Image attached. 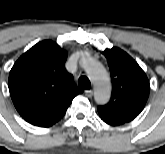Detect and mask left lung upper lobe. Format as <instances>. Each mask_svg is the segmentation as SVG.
Listing matches in <instances>:
<instances>
[{
    "instance_id": "obj_1",
    "label": "left lung upper lobe",
    "mask_w": 165,
    "mask_h": 154,
    "mask_svg": "<svg viewBox=\"0 0 165 154\" xmlns=\"http://www.w3.org/2000/svg\"><path fill=\"white\" fill-rule=\"evenodd\" d=\"M102 53L110 68L112 95L108 104L98 107L99 115L109 121L130 122L147 102L148 78L137 62L121 49L113 47Z\"/></svg>"
}]
</instances>
